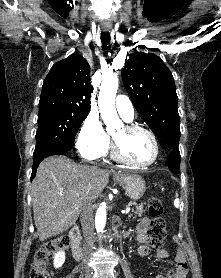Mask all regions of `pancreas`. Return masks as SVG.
<instances>
[{
	"label": "pancreas",
	"instance_id": "obj_1",
	"mask_svg": "<svg viewBox=\"0 0 221 278\" xmlns=\"http://www.w3.org/2000/svg\"><path fill=\"white\" fill-rule=\"evenodd\" d=\"M133 212H134V214H135V218L136 217H141L142 216V214L145 212V210H144V206L141 204V205H138L137 207H136V210H133ZM132 215H130V217H131Z\"/></svg>",
	"mask_w": 221,
	"mask_h": 278
}]
</instances>
